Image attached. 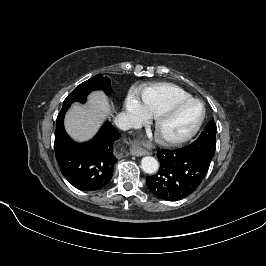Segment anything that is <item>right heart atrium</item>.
I'll use <instances>...</instances> for the list:
<instances>
[{
  "mask_svg": "<svg viewBox=\"0 0 266 266\" xmlns=\"http://www.w3.org/2000/svg\"><path fill=\"white\" fill-rule=\"evenodd\" d=\"M125 109L132 125H139L147 122L151 115L145 105L134 92L129 93L125 100Z\"/></svg>",
  "mask_w": 266,
  "mask_h": 266,
  "instance_id": "d8ad5b80",
  "label": "right heart atrium"
}]
</instances>
